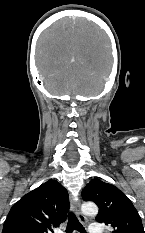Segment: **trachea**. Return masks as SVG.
<instances>
[{
	"instance_id": "1",
	"label": "trachea",
	"mask_w": 145,
	"mask_h": 233,
	"mask_svg": "<svg viewBox=\"0 0 145 233\" xmlns=\"http://www.w3.org/2000/svg\"><path fill=\"white\" fill-rule=\"evenodd\" d=\"M73 230H77L80 233L86 232L82 224L75 216V214L73 212H69L66 233H71Z\"/></svg>"
}]
</instances>
